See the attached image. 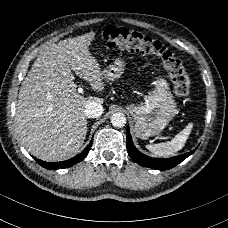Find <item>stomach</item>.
Returning <instances> with one entry per match:
<instances>
[{
    "label": "stomach",
    "mask_w": 228,
    "mask_h": 228,
    "mask_svg": "<svg viewBox=\"0 0 228 228\" xmlns=\"http://www.w3.org/2000/svg\"><path fill=\"white\" fill-rule=\"evenodd\" d=\"M125 63L117 58L102 70L103 79L116 80L123 74ZM155 89L141 105L131 104L128 111L135 121V135L142 139L160 134L177 114L176 102L164 78L153 82Z\"/></svg>",
    "instance_id": "stomach-1"
}]
</instances>
